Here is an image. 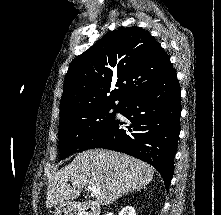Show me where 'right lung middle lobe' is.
Wrapping results in <instances>:
<instances>
[{"mask_svg":"<svg viewBox=\"0 0 221 215\" xmlns=\"http://www.w3.org/2000/svg\"><path fill=\"white\" fill-rule=\"evenodd\" d=\"M115 107H97L74 113L60 120L59 148L61 159L70 156L91 135L115 120Z\"/></svg>","mask_w":221,"mask_h":215,"instance_id":"1","label":"right lung middle lobe"}]
</instances>
